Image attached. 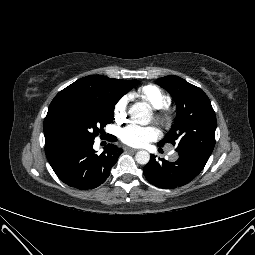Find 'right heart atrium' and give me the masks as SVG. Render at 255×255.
I'll return each instance as SVG.
<instances>
[{
    "mask_svg": "<svg viewBox=\"0 0 255 255\" xmlns=\"http://www.w3.org/2000/svg\"><path fill=\"white\" fill-rule=\"evenodd\" d=\"M127 99L125 97L119 99L113 108L114 118L117 121H122L126 115Z\"/></svg>",
    "mask_w": 255,
    "mask_h": 255,
    "instance_id": "d8ad5b80",
    "label": "right heart atrium"
}]
</instances>
